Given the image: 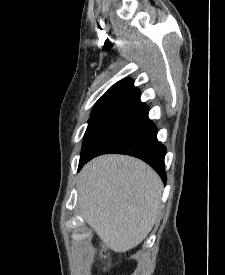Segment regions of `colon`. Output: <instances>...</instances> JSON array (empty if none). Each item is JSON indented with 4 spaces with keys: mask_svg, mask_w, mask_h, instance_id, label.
<instances>
[{
    "mask_svg": "<svg viewBox=\"0 0 225 275\" xmlns=\"http://www.w3.org/2000/svg\"><path fill=\"white\" fill-rule=\"evenodd\" d=\"M103 256H104V257H106V256H107L106 252H103Z\"/></svg>",
    "mask_w": 225,
    "mask_h": 275,
    "instance_id": "5ec220e1",
    "label": "colon"
}]
</instances>
